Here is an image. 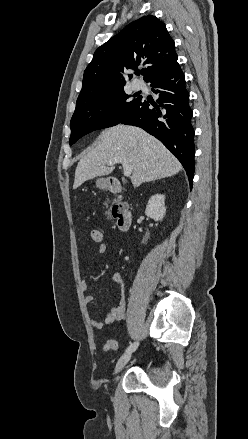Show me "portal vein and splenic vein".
<instances>
[{
  "mask_svg": "<svg viewBox=\"0 0 248 439\" xmlns=\"http://www.w3.org/2000/svg\"><path fill=\"white\" fill-rule=\"evenodd\" d=\"M116 163H121L123 166V173L126 177L130 176L133 170V167L123 158H117L113 160H109L107 165L112 166Z\"/></svg>",
  "mask_w": 248,
  "mask_h": 439,
  "instance_id": "obj_1",
  "label": "portal vein and splenic vein"
}]
</instances>
